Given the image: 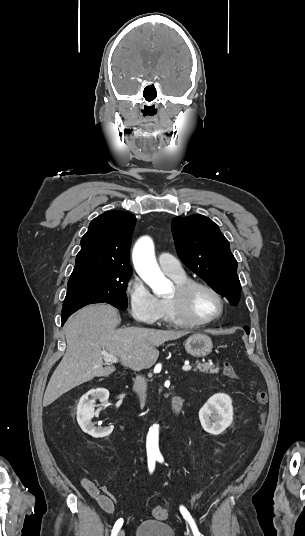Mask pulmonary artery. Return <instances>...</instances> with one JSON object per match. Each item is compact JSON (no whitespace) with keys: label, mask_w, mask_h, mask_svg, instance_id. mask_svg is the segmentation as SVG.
Masks as SVG:
<instances>
[{"label":"pulmonary artery","mask_w":305,"mask_h":536,"mask_svg":"<svg viewBox=\"0 0 305 536\" xmlns=\"http://www.w3.org/2000/svg\"><path fill=\"white\" fill-rule=\"evenodd\" d=\"M158 263L161 269L171 276H182L184 274V269L178 260L169 253H160L158 255Z\"/></svg>","instance_id":"1"}]
</instances>
